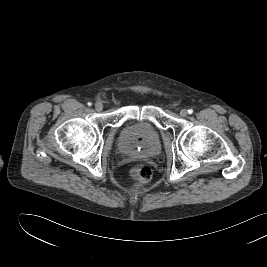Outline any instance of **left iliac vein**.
<instances>
[{
    "label": "left iliac vein",
    "mask_w": 267,
    "mask_h": 267,
    "mask_svg": "<svg viewBox=\"0 0 267 267\" xmlns=\"http://www.w3.org/2000/svg\"><path fill=\"white\" fill-rule=\"evenodd\" d=\"M180 115H181L182 117H186V116L188 115V111H187L186 109H182V110L180 111Z\"/></svg>",
    "instance_id": "obj_1"
}]
</instances>
